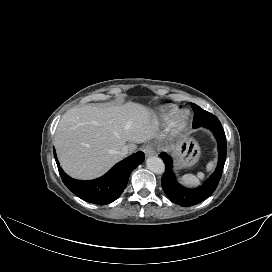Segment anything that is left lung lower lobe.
<instances>
[{
    "instance_id": "obj_1",
    "label": "left lung lower lobe",
    "mask_w": 272,
    "mask_h": 272,
    "mask_svg": "<svg viewBox=\"0 0 272 272\" xmlns=\"http://www.w3.org/2000/svg\"><path fill=\"white\" fill-rule=\"evenodd\" d=\"M201 126L209 128L214 133L215 138L218 141L219 152L218 165L214 173L204 182L202 186L194 189H188L181 186L172 171V158L170 155L165 152H162L159 155V157L164 160L166 165V170L161 178L163 190L172 202L184 207L196 205L205 200L214 192L218 186L226 160V137L218 118L197 127Z\"/></svg>"
}]
</instances>
